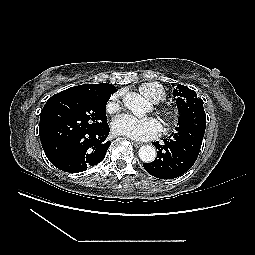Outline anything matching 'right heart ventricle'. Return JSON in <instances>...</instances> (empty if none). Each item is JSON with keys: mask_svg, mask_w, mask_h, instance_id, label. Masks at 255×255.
<instances>
[{"mask_svg": "<svg viewBox=\"0 0 255 255\" xmlns=\"http://www.w3.org/2000/svg\"><path fill=\"white\" fill-rule=\"evenodd\" d=\"M140 94L152 103H160L166 98L164 89L155 83H145L139 86Z\"/></svg>", "mask_w": 255, "mask_h": 255, "instance_id": "right-heart-ventricle-1", "label": "right heart ventricle"}]
</instances>
